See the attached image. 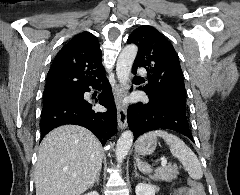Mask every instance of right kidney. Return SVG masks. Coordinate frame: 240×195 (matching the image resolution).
Returning <instances> with one entry per match:
<instances>
[{"instance_id": "1", "label": "right kidney", "mask_w": 240, "mask_h": 195, "mask_svg": "<svg viewBox=\"0 0 240 195\" xmlns=\"http://www.w3.org/2000/svg\"><path fill=\"white\" fill-rule=\"evenodd\" d=\"M85 195H99L98 191H90V193H85Z\"/></svg>"}]
</instances>
